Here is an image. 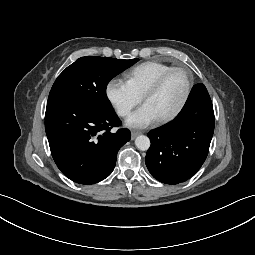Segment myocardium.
Masks as SVG:
<instances>
[{"label":"myocardium","mask_w":255,"mask_h":255,"mask_svg":"<svg viewBox=\"0 0 255 255\" xmlns=\"http://www.w3.org/2000/svg\"><path fill=\"white\" fill-rule=\"evenodd\" d=\"M176 71H181L185 74L186 79H187V87H186V91L185 94L180 102V104L177 106V108L171 112L170 114L163 116L160 118V121L162 122H168L173 120L174 118H176L180 112L183 110V108L185 107L191 91H192V77L191 74L189 73V71L184 68V67H172L169 70L165 71L163 74H161L156 81L147 89V91L144 94V100L147 101V99L155 94L156 92H158L161 87L163 86L164 82L166 81V79L173 73Z\"/></svg>","instance_id":"f54148a6"}]
</instances>
